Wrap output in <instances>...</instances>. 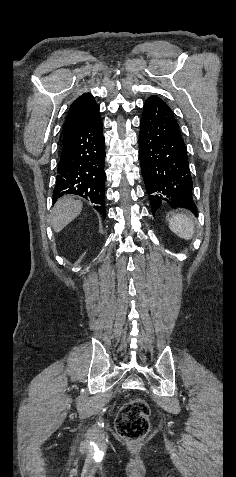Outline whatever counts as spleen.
Here are the masks:
<instances>
[{
	"mask_svg": "<svg viewBox=\"0 0 236 477\" xmlns=\"http://www.w3.org/2000/svg\"><path fill=\"white\" fill-rule=\"evenodd\" d=\"M169 226L181 238L189 240L194 234V222L185 214H177L169 221Z\"/></svg>",
	"mask_w": 236,
	"mask_h": 477,
	"instance_id": "spleen-1",
	"label": "spleen"
}]
</instances>
